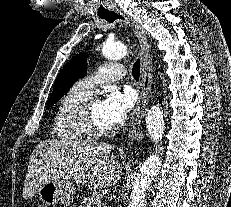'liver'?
Listing matches in <instances>:
<instances>
[{
  "label": "liver",
  "instance_id": "6515ba94",
  "mask_svg": "<svg viewBox=\"0 0 231 207\" xmlns=\"http://www.w3.org/2000/svg\"><path fill=\"white\" fill-rule=\"evenodd\" d=\"M112 146L91 141L42 142L33 150L23 187V198L34 196L49 180L88 184L91 190L110 187L121 178Z\"/></svg>",
  "mask_w": 231,
  "mask_h": 207
}]
</instances>
